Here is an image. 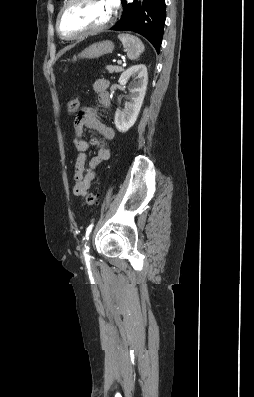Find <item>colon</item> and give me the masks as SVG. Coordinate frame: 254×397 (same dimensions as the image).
<instances>
[{
  "label": "colon",
  "mask_w": 254,
  "mask_h": 397,
  "mask_svg": "<svg viewBox=\"0 0 254 397\" xmlns=\"http://www.w3.org/2000/svg\"><path fill=\"white\" fill-rule=\"evenodd\" d=\"M81 104V98L79 96H75L72 99L68 100L65 104V109L67 113L72 114L76 112ZM98 201V194L95 192H90L86 196V203L89 206H93L97 203Z\"/></svg>",
  "instance_id": "obj_1"
}]
</instances>
